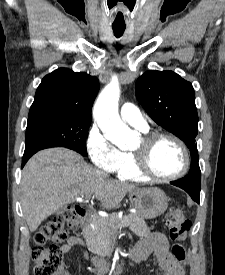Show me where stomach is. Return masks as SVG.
Returning <instances> with one entry per match:
<instances>
[{
    "instance_id": "0dacf381",
    "label": "stomach",
    "mask_w": 225,
    "mask_h": 275,
    "mask_svg": "<svg viewBox=\"0 0 225 275\" xmlns=\"http://www.w3.org/2000/svg\"><path fill=\"white\" fill-rule=\"evenodd\" d=\"M129 198L137 214L145 219L156 218L168 208V197L156 187L134 190L130 192Z\"/></svg>"
}]
</instances>
